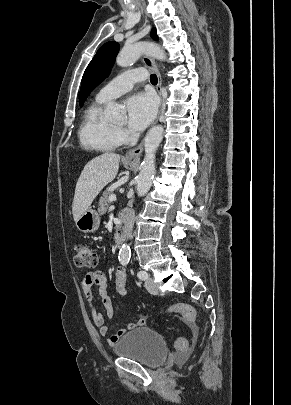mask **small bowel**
<instances>
[{"label": "small bowel", "mask_w": 291, "mask_h": 405, "mask_svg": "<svg viewBox=\"0 0 291 405\" xmlns=\"http://www.w3.org/2000/svg\"><path fill=\"white\" fill-rule=\"evenodd\" d=\"M97 287L98 294L101 298L103 307L105 309L106 316L112 318L114 316V307L110 296L108 295V279L104 271L97 270L87 273L81 279V289L86 298L90 315L94 325L98 328L99 334L105 337L108 345H114L119 339L124 336L128 331L134 329L137 326L144 324L143 316L139 315L134 323H131L127 328L119 329L112 335H108V326L105 323L103 315L98 311L94 302L93 288Z\"/></svg>", "instance_id": "small-bowel-1"}]
</instances>
